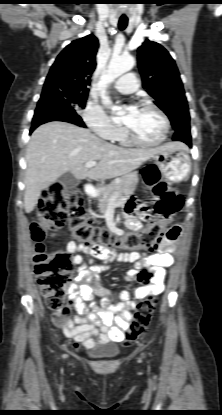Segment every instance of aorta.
Masks as SVG:
<instances>
[{"label":"aorta","instance_id":"obj_1","mask_svg":"<svg viewBox=\"0 0 222 415\" xmlns=\"http://www.w3.org/2000/svg\"><path fill=\"white\" fill-rule=\"evenodd\" d=\"M135 65V59L130 55L113 56L108 64L107 71L101 77V82L111 83L119 76L130 71ZM110 98L107 96L102 97V103L104 105L109 104Z\"/></svg>","mask_w":222,"mask_h":415}]
</instances>
